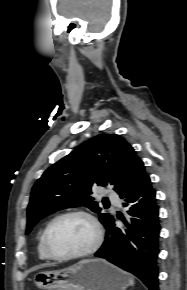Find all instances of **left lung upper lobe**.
<instances>
[{"instance_id":"left-lung-upper-lobe-1","label":"left lung upper lobe","mask_w":187,"mask_h":290,"mask_svg":"<svg viewBox=\"0 0 187 290\" xmlns=\"http://www.w3.org/2000/svg\"><path fill=\"white\" fill-rule=\"evenodd\" d=\"M146 174L133 147L116 134L95 136L48 168L34 185L27 209L28 234L36 223L61 209L87 206L107 228L113 217L100 213L91 188L114 186L121 196Z\"/></svg>"}]
</instances>
